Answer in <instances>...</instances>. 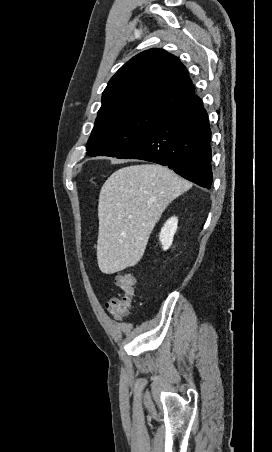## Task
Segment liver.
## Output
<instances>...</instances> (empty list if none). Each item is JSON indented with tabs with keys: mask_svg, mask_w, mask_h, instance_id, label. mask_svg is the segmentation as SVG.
I'll return each instance as SVG.
<instances>
[{
	"mask_svg": "<svg viewBox=\"0 0 272 452\" xmlns=\"http://www.w3.org/2000/svg\"><path fill=\"white\" fill-rule=\"evenodd\" d=\"M191 186L158 164L132 165L111 174L98 203L97 261L101 272L113 274L135 266L163 211Z\"/></svg>",
	"mask_w": 272,
	"mask_h": 452,
	"instance_id": "6515ba94",
	"label": "liver"
}]
</instances>
